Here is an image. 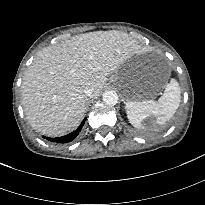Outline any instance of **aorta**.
Wrapping results in <instances>:
<instances>
[{
	"mask_svg": "<svg viewBox=\"0 0 205 205\" xmlns=\"http://www.w3.org/2000/svg\"><path fill=\"white\" fill-rule=\"evenodd\" d=\"M102 97L107 105H116L118 103V95L115 91H105Z\"/></svg>",
	"mask_w": 205,
	"mask_h": 205,
	"instance_id": "aorta-1",
	"label": "aorta"
}]
</instances>
